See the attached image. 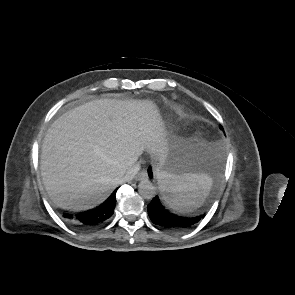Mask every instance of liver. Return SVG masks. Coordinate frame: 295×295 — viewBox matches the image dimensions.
Instances as JSON below:
<instances>
[{
    "label": "liver",
    "instance_id": "6515ba94",
    "mask_svg": "<svg viewBox=\"0 0 295 295\" xmlns=\"http://www.w3.org/2000/svg\"><path fill=\"white\" fill-rule=\"evenodd\" d=\"M146 149L158 165L169 154L153 101H90L66 112L48 129L41 152L45 189L63 209H92L123 182Z\"/></svg>",
    "mask_w": 295,
    "mask_h": 295
}]
</instances>
